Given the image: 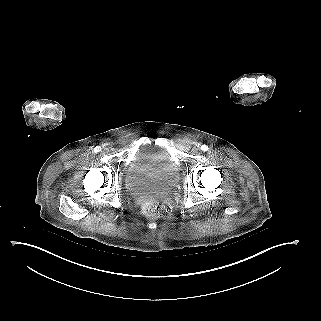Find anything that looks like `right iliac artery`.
Returning <instances> with one entry per match:
<instances>
[{"label":"right iliac artery","mask_w":321,"mask_h":321,"mask_svg":"<svg viewBox=\"0 0 321 321\" xmlns=\"http://www.w3.org/2000/svg\"><path fill=\"white\" fill-rule=\"evenodd\" d=\"M94 151H95L96 153L100 152V151H101V147H100V146L95 147V148H94Z\"/></svg>","instance_id":"82829eb1"}]
</instances>
